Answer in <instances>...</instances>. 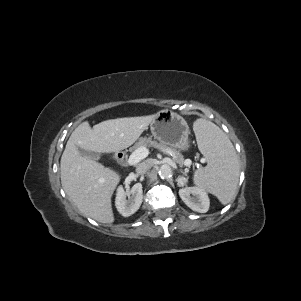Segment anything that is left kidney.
Returning <instances> with one entry per match:
<instances>
[{"label": "left kidney", "mask_w": 301, "mask_h": 301, "mask_svg": "<svg viewBox=\"0 0 301 301\" xmlns=\"http://www.w3.org/2000/svg\"><path fill=\"white\" fill-rule=\"evenodd\" d=\"M179 196L193 211L206 213L209 209V197L206 191L200 187L182 188L179 190Z\"/></svg>", "instance_id": "obj_1"}]
</instances>
